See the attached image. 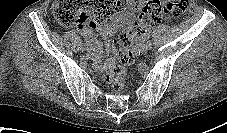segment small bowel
<instances>
[{"instance_id":"c3829d8e","label":"small bowel","mask_w":227,"mask_h":133,"mask_svg":"<svg viewBox=\"0 0 227 133\" xmlns=\"http://www.w3.org/2000/svg\"><path fill=\"white\" fill-rule=\"evenodd\" d=\"M142 3V0H129L128 4L138 7ZM96 25L92 27L88 26H81L79 25V30L82 34V36L87 40L92 48L94 49V58L97 63H99L100 60V46L97 40L93 36V28H95ZM101 30L104 33H112L114 31V26H102ZM145 35V31L140 34V36L137 39H141Z\"/></svg>"}]
</instances>
